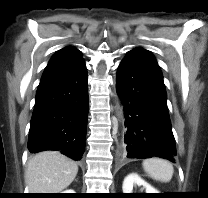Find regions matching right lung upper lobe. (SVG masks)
<instances>
[{"instance_id": "cb5924a9", "label": "right lung upper lobe", "mask_w": 208, "mask_h": 198, "mask_svg": "<svg viewBox=\"0 0 208 198\" xmlns=\"http://www.w3.org/2000/svg\"><path fill=\"white\" fill-rule=\"evenodd\" d=\"M83 61L81 52L78 49L74 47H65L56 52L51 58L43 73L41 81L70 71Z\"/></svg>"}]
</instances>
